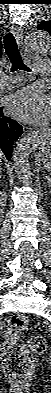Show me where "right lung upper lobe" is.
<instances>
[{"instance_id": "cb5924a9", "label": "right lung upper lobe", "mask_w": 51, "mask_h": 393, "mask_svg": "<svg viewBox=\"0 0 51 393\" xmlns=\"http://www.w3.org/2000/svg\"><path fill=\"white\" fill-rule=\"evenodd\" d=\"M1 49H2V43H1V37H0V57H1Z\"/></svg>"}]
</instances>
